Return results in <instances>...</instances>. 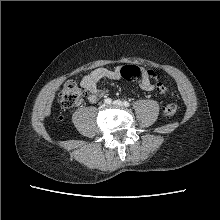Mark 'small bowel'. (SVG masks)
<instances>
[{
	"label": "small bowel",
	"instance_id": "c3829d8e",
	"mask_svg": "<svg viewBox=\"0 0 220 220\" xmlns=\"http://www.w3.org/2000/svg\"><path fill=\"white\" fill-rule=\"evenodd\" d=\"M119 78L120 67L113 69L100 67L94 69L82 79L81 87L87 93L89 102L96 103L105 94V90L99 88L98 82L102 79L117 80ZM139 85L145 91H152L155 89V84L150 81L148 76V70L142 69Z\"/></svg>",
	"mask_w": 220,
	"mask_h": 220
}]
</instances>
